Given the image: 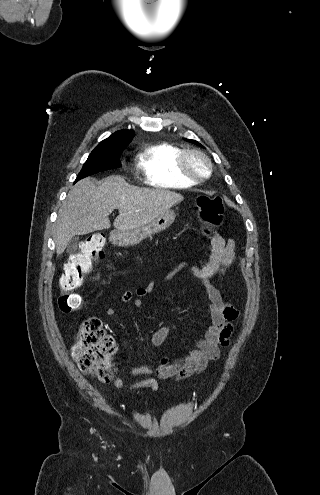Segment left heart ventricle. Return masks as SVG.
Returning <instances> with one entry per match:
<instances>
[{
  "instance_id": "obj_1",
  "label": "left heart ventricle",
  "mask_w": 320,
  "mask_h": 495,
  "mask_svg": "<svg viewBox=\"0 0 320 495\" xmlns=\"http://www.w3.org/2000/svg\"><path fill=\"white\" fill-rule=\"evenodd\" d=\"M189 164L195 173L204 174L207 170L206 164L199 157H192Z\"/></svg>"
}]
</instances>
